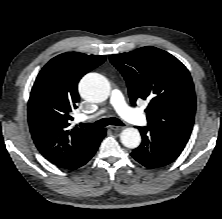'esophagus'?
Segmentation results:
<instances>
[{
	"mask_svg": "<svg viewBox=\"0 0 222 219\" xmlns=\"http://www.w3.org/2000/svg\"><path fill=\"white\" fill-rule=\"evenodd\" d=\"M124 127H120V126H110V129L113 131H120L122 130Z\"/></svg>",
	"mask_w": 222,
	"mask_h": 219,
	"instance_id": "34e87169",
	"label": "esophagus"
}]
</instances>
